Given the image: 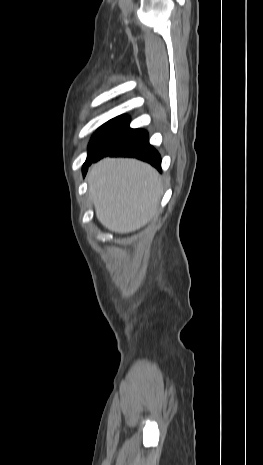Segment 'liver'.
Masks as SVG:
<instances>
[{
    "instance_id": "liver-1",
    "label": "liver",
    "mask_w": 263,
    "mask_h": 465,
    "mask_svg": "<svg viewBox=\"0 0 263 465\" xmlns=\"http://www.w3.org/2000/svg\"><path fill=\"white\" fill-rule=\"evenodd\" d=\"M88 183L97 219L119 234L134 232L155 217L163 193L159 173L129 158L99 161L91 168Z\"/></svg>"
}]
</instances>
